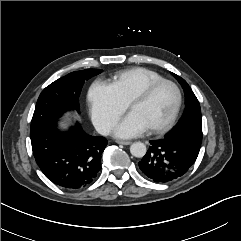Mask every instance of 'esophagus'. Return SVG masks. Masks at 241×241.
I'll list each match as a JSON object with an SVG mask.
<instances>
[{
    "label": "esophagus",
    "mask_w": 241,
    "mask_h": 241,
    "mask_svg": "<svg viewBox=\"0 0 241 241\" xmlns=\"http://www.w3.org/2000/svg\"><path fill=\"white\" fill-rule=\"evenodd\" d=\"M117 143L122 144V145H130L131 144L130 141H121V140H118Z\"/></svg>",
    "instance_id": "1"
}]
</instances>
